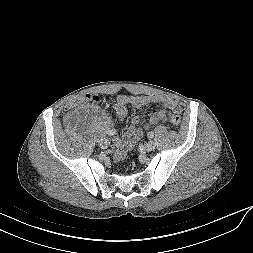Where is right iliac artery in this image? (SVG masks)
Masks as SVG:
<instances>
[{"instance_id":"1","label":"right iliac artery","mask_w":253,"mask_h":253,"mask_svg":"<svg viewBox=\"0 0 253 253\" xmlns=\"http://www.w3.org/2000/svg\"><path fill=\"white\" fill-rule=\"evenodd\" d=\"M106 133L109 135V136H113L117 133L116 129H108L106 130Z\"/></svg>"}]
</instances>
